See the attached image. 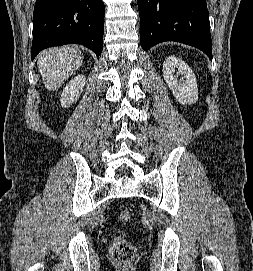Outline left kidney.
Segmentation results:
<instances>
[{
	"label": "left kidney",
	"instance_id": "5707ae66",
	"mask_svg": "<svg viewBox=\"0 0 253 271\" xmlns=\"http://www.w3.org/2000/svg\"><path fill=\"white\" fill-rule=\"evenodd\" d=\"M162 71L168 87L181 104L196 103L198 100L196 77L183 60L175 56L167 57ZM179 76H181L180 79Z\"/></svg>",
	"mask_w": 253,
	"mask_h": 271
}]
</instances>
